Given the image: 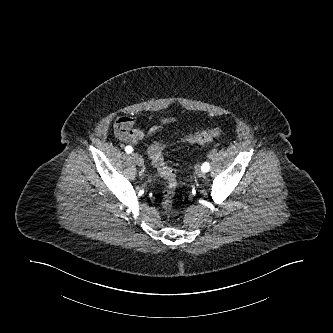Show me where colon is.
I'll use <instances>...</instances> for the list:
<instances>
[{"instance_id":"1","label":"colon","mask_w":333,"mask_h":333,"mask_svg":"<svg viewBox=\"0 0 333 333\" xmlns=\"http://www.w3.org/2000/svg\"><path fill=\"white\" fill-rule=\"evenodd\" d=\"M219 128H212L206 131L190 134L181 137L182 142L191 144H205L221 135ZM164 141H156L149 148V157L153 166L156 168L160 176L167 182V186L163 192L162 206L166 211H171L173 207V199L177 189L176 171L168 166L163 156V149L166 146Z\"/></svg>"}]
</instances>
